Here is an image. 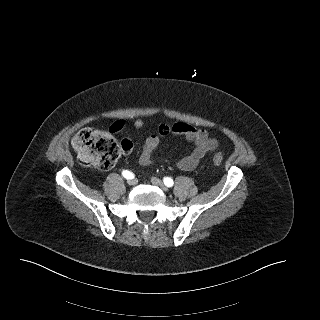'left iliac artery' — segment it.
<instances>
[{
    "instance_id": "1",
    "label": "left iliac artery",
    "mask_w": 320,
    "mask_h": 320,
    "mask_svg": "<svg viewBox=\"0 0 320 320\" xmlns=\"http://www.w3.org/2000/svg\"><path fill=\"white\" fill-rule=\"evenodd\" d=\"M163 181H164V184H165L166 186H168V187H172L173 184H174L173 179H171V178H169V177H165V178L163 179Z\"/></svg>"
}]
</instances>
